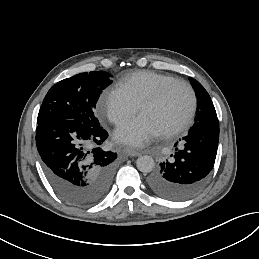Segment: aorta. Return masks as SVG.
Wrapping results in <instances>:
<instances>
[{"label": "aorta", "instance_id": "aorta-1", "mask_svg": "<svg viewBox=\"0 0 259 259\" xmlns=\"http://www.w3.org/2000/svg\"><path fill=\"white\" fill-rule=\"evenodd\" d=\"M136 166L139 171L143 173H149L154 169L155 162L151 156L143 155L137 159Z\"/></svg>", "mask_w": 259, "mask_h": 259}]
</instances>
